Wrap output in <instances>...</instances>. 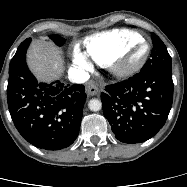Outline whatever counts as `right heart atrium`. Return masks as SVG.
Returning a JSON list of instances; mask_svg holds the SVG:
<instances>
[{"label": "right heart atrium", "instance_id": "right-heart-atrium-1", "mask_svg": "<svg viewBox=\"0 0 187 187\" xmlns=\"http://www.w3.org/2000/svg\"><path fill=\"white\" fill-rule=\"evenodd\" d=\"M73 63L81 71H90L92 69V64L87 56V54L75 47L73 50Z\"/></svg>", "mask_w": 187, "mask_h": 187}]
</instances>
